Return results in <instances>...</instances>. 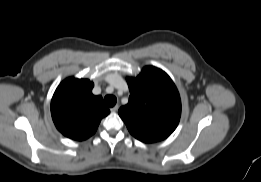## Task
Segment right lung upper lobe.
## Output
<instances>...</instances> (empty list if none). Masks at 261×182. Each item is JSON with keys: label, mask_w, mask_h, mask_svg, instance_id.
Masks as SVG:
<instances>
[{"label": "right lung upper lobe", "mask_w": 261, "mask_h": 182, "mask_svg": "<svg viewBox=\"0 0 261 182\" xmlns=\"http://www.w3.org/2000/svg\"><path fill=\"white\" fill-rule=\"evenodd\" d=\"M94 84L88 79H65L51 101V115L56 128L66 137L82 141L95 133L101 119L110 111L101 96H94Z\"/></svg>", "instance_id": "1"}]
</instances>
